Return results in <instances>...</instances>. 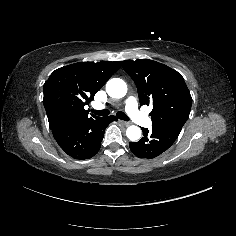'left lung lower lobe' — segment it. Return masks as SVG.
<instances>
[{"instance_id":"left-lung-lower-lobe-1","label":"left lung lower lobe","mask_w":236,"mask_h":236,"mask_svg":"<svg viewBox=\"0 0 236 236\" xmlns=\"http://www.w3.org/2000/svg\"><path fill=\"white\" fill-rule=\"evenodd\" d=\"M143 137L138 142H130L131 151L139 158L152 159L166 151L177 139L181 130L152 126V130L142 128Z\"/></svg>"}]
</instances>
